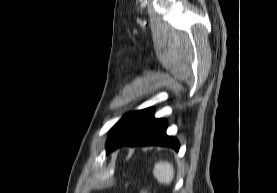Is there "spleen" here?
<instances>
[{
	"mask_svg": "<svg viewBox=\"0 0 277 193\" xmlns=\"http://www.w3.org/2000/svg\"><path fill=\"white\" fill-rule=\"evenodd\" d=\"M174 167L167 161H159L154 165L153 175L161 184H170L174 178Z\"/></svg>",
	"mask_w": 277,
	"mask_h": 193,
	"instance_id": "spleen-1",
	"label": "spleen"
}]
</instances>
